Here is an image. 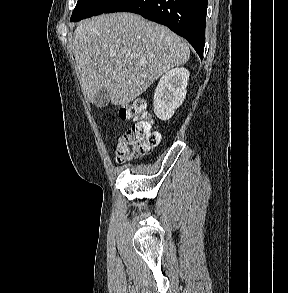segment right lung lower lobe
Here are the masks:
<instances>
[{
  "instance_id": "98d812e1",
  "label": "right lung lower lobe",
  "mask_w": 288,
  "mask_h": 293,
  "mask_svg": "<svg viewBox=\"0 0 288 293\" xmlns=\"http://www.w3.org/2000/svg\"><path fill=\"white\" fill-rule=\"evenodd\" d=\"M208 0H119L105 13L132 12L169 27L203 58Z\"/></svg>"
}]
</instances>
